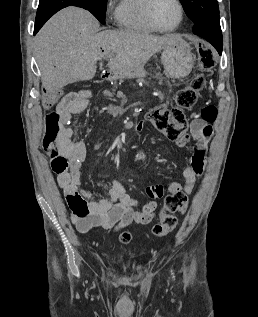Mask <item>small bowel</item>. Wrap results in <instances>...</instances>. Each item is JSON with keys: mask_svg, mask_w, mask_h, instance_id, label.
I'll return each mask as SVG.
<instances>
[{"mask_svg": "<svg viewBox=\"0 0 258 317\" xmlns=\"http://www.w3.org/2000/svg\"><path fill=\"white\" fill-rule=\"evenodd\" d=\"M87 104L86 93H71L57 109L64 114L68 124L73 116L86 109ZM143 127V122H139L136 129L141 131ZM212 131L209 123L195 118L189 132L176 140L178 147L188 148L192 152L181 169V180L167 185L169 193L189 194L192 191L204 172ZM86 153L85 143L73 141L72 130L68 127L59 152L51 154V167L57 174L58 186L68 203L71 221L77 230L82 233L94 228L120 230L131 223L144 225L152 222L158 207L156 200L163 196V185H151L145 189L151 200L144 205H140L119 180L113 181L106 197L97 198L92 191L83 187L81 180Z\"/></svg>", "mask_w": 258, "mask_h": 317, "instance_id": "1", "label": "small bowel"}]
</instances>
